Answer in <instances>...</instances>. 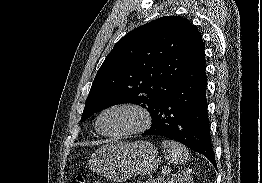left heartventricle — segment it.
<instances>
[{"label":"left heart ventricle","instance_id":"b2bd125f","mask_svg":"<svg viewBox=\"0 0 262 183\" xmlns=\"http://www.w3.org/2000/svg\"><path fill=\"white\" fill-rule=\"evenodd\" d=\"M141 122V116L131 109H115L103 115L100 128L106 133H120L130 130Z\"/></svg>","mask_w":262,"mask_h":183}]
</instances>
